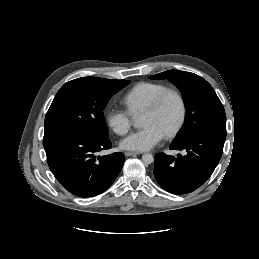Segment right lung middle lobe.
<instances>
[{
    "instance_id": "right-lung-middle-lobe-1",
    "label": "right lung middle lobe",
    "mask_w": 259,
    "mask_h": 259,
    "mask_svg": "<svg viewBox=\"0 0 259 259\" xmlns=\"http://www.w3.org/2000/svg\"><path fill=\"white\" fill-rule=\"evenodd\" d=\"M130 83L98 77L78 78L57 92L45 117L44 133L79 130L108 138L103 109L109 99Z\"/></svg>"
}]
</instances>
